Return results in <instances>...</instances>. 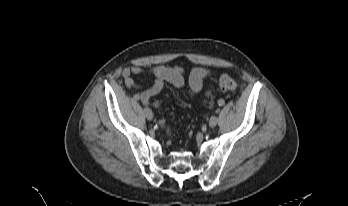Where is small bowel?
Instances as JSON below:
<instances>
[{
    "instance_id": "1",
    "label": "small bowel",
    "mask_w": 348,
    "mask_h": 206,
    "mask_svg": "<svg viewBox=\"0 0 348 206\" xmlns=\"http://www.w3.org/2000/svg\"><path fill=\"white\" fill-rule=\"evenodd\" d=\"M144 73H148L154 77L152 86L141 91L138 95L141 101L146 105L150 103V99L153 96L157 95L163 90L165 82H169L175 87H182L185 83L182 70L178 67L158 65L151 68H144L142 66H132L125 68L122 71L125 86L128 89L137 88V83L134 80V76ZM213 75L214 72L207 68L197 67L193 69L188 78L190 91L193 94H197L202 91L204 88V80Z\"/></svg>"
}]
</instances>
